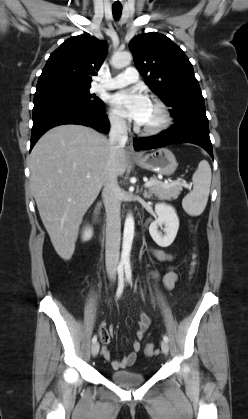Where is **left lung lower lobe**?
I'll return each instance as SVG.
<instances>
[{
	"mask_svg": "<svg viewBox=\"0 0 248 419\" xmlns=\"http://www.w3.org/2000/svg\"><path fill=\"white\" fill-rule=\"evenodd\" d=\"M175 124L159 135L137 138L136 150H149L177 143H193L206 150L213 158L205 109H191L175 117Z\"/></svg>",
	"mask_w": 248,
	"mask_h": 419,
	"instance_id": "0a47b994",
	"label": "left lung lower lobe"
}]
</instances>
